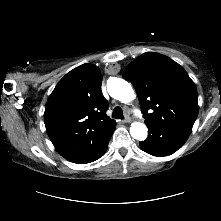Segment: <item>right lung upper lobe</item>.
Instances as JSON below:
<instances>
[{
	"label": "right lung upper lobe",
	"mask_w": 221,
	"mask_h": 221,
	"mask_svg": "<svg viewBox=\"0 0 221 221\" xmlns=\"http://www.w3.org/2000/svg\"><path fill=\"white\" fill-rule=\"evenodd\" d=\"M102 76L96 65L83 64L67 73L48 98L44 113L47 134L55 149L75 162L115 129L106 115Z\"/></svg>",
	"instance_id": "obj_1"
}]
</instances>
